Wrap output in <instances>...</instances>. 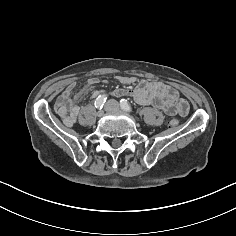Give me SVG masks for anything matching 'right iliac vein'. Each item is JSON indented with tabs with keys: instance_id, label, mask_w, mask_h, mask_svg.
I'll list each match as a JSON object with an SVG mask.
<instances>
[{
	"instance_id": "obj_1",
	"label": "right iliac vein",
	"mask_w": 236,
	"mask_h": 236,
	"mask_svg": "<svg viewBox=\"0 0 236 236\" xmlns=\"http://www.w3.org/2000/svg\"><path fill=\"white\" fill-rule=\"evenodd\" d=\"M110 109H111L110 106L107 105V106H106V111H110Z\"/></svg>"
}]
</instances>
